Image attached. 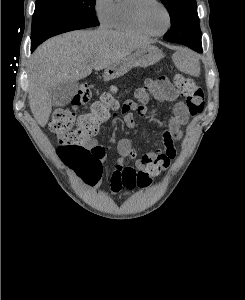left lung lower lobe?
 I'll list each match as a JSON object with an SVG mask.
<instances>
[{"instance_id":"left-lung-lower-lobe-1","label":"left lung lower lobe","mask_w":245,"mask_h":300,"mask_svg":"<svg viewBox=\"0 0 245 300\" xmlns=\"http://www.w3.org/2000/svg\"><path fill=\"white\" fill-rule=\"evenodd\" d=\"M169 42L184 44L197 52H202L201 34L193 35L189 38L176 39Z\"/></svg>"}]
</instances>
